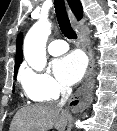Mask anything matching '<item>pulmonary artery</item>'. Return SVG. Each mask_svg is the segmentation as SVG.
Masks as SVG:
<instances>
[{
  "mask_svg": "<svg viewBox=\"0 0 117 131\" xmlns=\"http://www.w3.org/2000/svg\"><path fill=\"white\" fill-rule=\"evenodd\" d=\"M69 49L68 44L64 40H53L48 45V52L53 56H59L67 52Z\"/></svg>",
  "mask_w": 117,
  "mask_h": 131,
  "instance_id": "1",
  "label": "pulmonary artery"
}]
</instances>
